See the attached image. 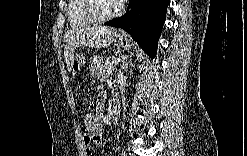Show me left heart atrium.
Returning a JSON list of instances; mask_svg holds the SVG:
<instances>
[{
    "label": "left heart atrium",
    "instance_id": "39dd6f15",
    "mask_svg": "<svg viewBox=\"0 0 247 156\" xmlns=\"http://www.w3.org/2000/svg\"><path fill=\"white\" fill-rule=\"evenodd\" d=\"M124 1L123 0H117L116 3L117 4H122Z\"/></svg>",
    "mask_w": 247,
    "mask_h": 156
}]
</instances>
